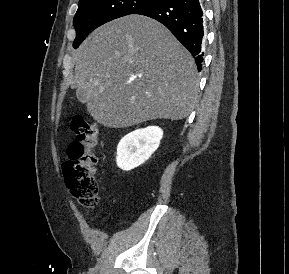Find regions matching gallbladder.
Returning <instances> with one entry per match:
<instances>
[{
	"label": "gallbladder",
	"mask_w": 289,
	"mask_h": 274,
	"mask_svg": "<svg viewBox=\"0 0 289 274\" xmlns=\"http://www.w3.org/2000/svg\"><path fill=\"white\" fill-rule=\"evenodd\" d=\"M76 97H77V99L80 102L85 103V101H86V93H85V91L83 89L78 88L76 90Z\"/></svg>",
	"instance_id": "1"
}]
</instances>
